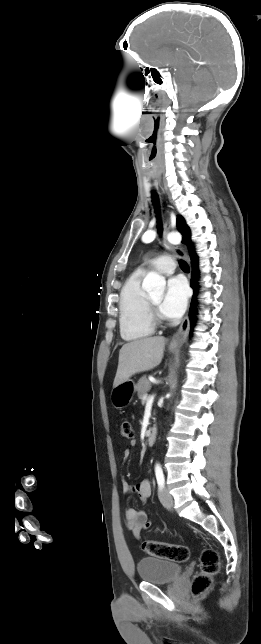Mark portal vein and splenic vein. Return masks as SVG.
I'll return each mask as SVG.
<instances>
[{"label":"portal vein and splenic vein","mask_w":261,"mask_h":644,"mask_svg":"<svg viewBox=\"0 0 261 644\" xmlns=\"http://www.w3.org/2000/svg\"><path fill=\"white\" fill-rule=\"evenodd\" d=\"M142 399H143L144 401H146V400H148V399H149V397H148V395H147V394H145V395L142 397Z\"/></svg>","instance_id":"obj_1"}]
</instances>
